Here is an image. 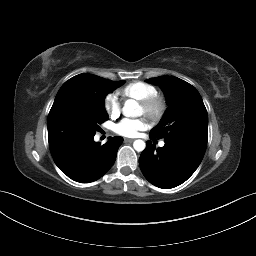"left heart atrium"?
<instances>
[{
  "mask_svg": "<svg viewBox=\"0 0 256 256\" xmlns=\"http://www.w3.org/2000/svg\"><path fill=\"white\" fill-rule=\"evenodd\" d=\"M147 128L144 119H123L114 126V131L118 135L125 137H135L138 133Z\"/></svg>",
  "mask_w": 256,
  "mask_h": 256,
  "instance_id": "1",
  "label": "left heart atrium"
}]
</instances>
